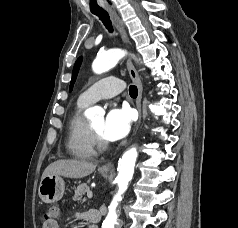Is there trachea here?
I'll list each match as a JSON object with an SVG mask.
<instances>
[{
  "instance_id": "3493384b",
  "label": "trachea",
  "mask_w": 238,
  "mask_h": 228,
  "mask_svg": "<svg viewBox=\"0 0 238 228\" xmlns=\"http://www.w3.org/2000/svg\"><path fill=\"white\" fill-rule=\"evenodd\" d=\"M93 14L97 15L100 20L103 22V24L105 25V27L110 31L112 32L113 31V28H112V24H111V21H110V18H109V15L108 13L105 11V10H95V11H92ZM129 94L132 98H135L137 97L138 95V90H137V87L135 85H131L129 87Z\"/></svg>"
}]
</instances>
